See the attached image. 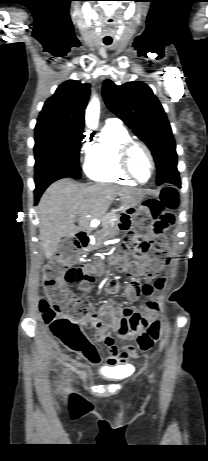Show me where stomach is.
<instances>
[{"mask_svg":"<svg viewBox=\"0 0 208 461\" xmlns=\"http://www.w3.org/2000/svg\"><path fill=\"white\" fill-rule=\"evenodd\" d=\"M144 196V193L142 191H136L134 193H129V194H122L121 195V211L124 213V207L127 206L128 204H131L133 208L137 207L140 203L141 200ZM119 222L114 224L113 227L104 230L102 234L98 237V243L105 239V238H111L114 237L118 234L119 231Z\"/></svg>","mask_w":208,"mask_h":461,"instance_id":"obj_1","label":"stomach"}]
</instances>
